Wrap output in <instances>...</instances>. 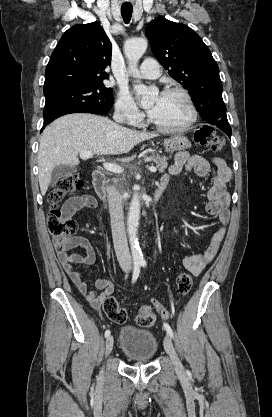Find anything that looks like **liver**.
I'll return each mask as SVG.
<instances>
[{
    "label": "liver",
    "mask_w": 272,
    "mask_h": 417,
    "mask_svg": "<svg viewBox=\"0 0 272 417\" xmlns=\"http://www.w3.org/2000/svg\"><path fill=\"white\" fill-rule=\"evenodd\" d=\"M155 137V133L131 130L93 114H69L56 119L44 129L39 145L38 178L42 195L47 192L53 169L61 164L78 165L79 153L119 155Z\"/></svg>",
    "instance_id": "liver-1"
}]
</instances>
